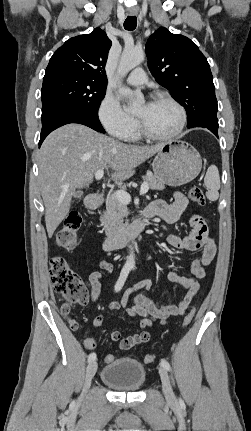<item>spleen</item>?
<instances>
[{
	"label": "spleen",
	"mask_w": 251,
	"mask_h": 431,
	"mask_svg": "<svg viewBox=\"0 0 251 431\" xmlns=\"http://www.w3.org/2000/svg\"><path fill=\"white\" fill-rule=\"evenodd\" d=\"M204 184L207 188L206 196L211 201H216L219 197L218 190L220 189V176L218 168L215 165L208 167Z\"/></svg>",
	"instance_id": "obj_1"
}]
</instances>
